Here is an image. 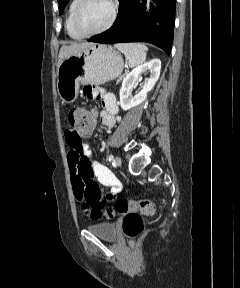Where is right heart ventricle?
<instances>
[{
    "label": "right heart ventricle",
    "mask_w": 240,
    "mask_h": 288,
    "mask_svg": "<svg viewBox=\"0 0 240 288\" xmlns=\"http://www.w3.org/2000/svg\"><path fill=\"white\" fill-rule=\"evenodd\" d=\"M79 3V0H71L67 9L66 18H65V29L69 37L75 40H80L83 38L82 35H80L73 27V14L75 11V8L77 4Z\"/></svg>",
    "instance_id": "e07e8e85"
}]
</instances>
